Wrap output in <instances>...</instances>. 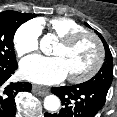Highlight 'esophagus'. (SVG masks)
<instances>
[{
	"mask_svg": "<svg viewBox=\"0 0 117 117\" xmlns=\"http://www.w3.org/2000/svg\"><path fill=\"white\" fill-rule=\"evenodd\" d=\"M32 89L40 96H45L49 93V90L47 88L38 85H33Z\"/></svg>",
	"mask_w": 117,
	"mask_h": 117,
	"instance_id": "esophagus-1",
	"label": "esophagus"
}]
</instances>
